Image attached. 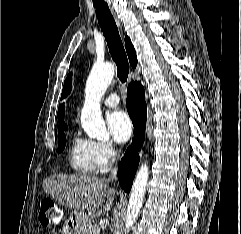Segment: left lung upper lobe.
Segmentation results:
<instances>
[{"instance_id":"obj_1","label":"left lung upper lobe","mask_w":241,"mask_h":234,"mask_svg":"<svg viewBox=\"0 0 241 234\" xmlns=\"http://www.w3.org/2000/svg\"><path fill=\"white\" fill-rule=\"evenodd\" d=\"M71 88H72V74H69L64 82L61 99H63L70 93Z\"/></svg>"}]
</instances>
